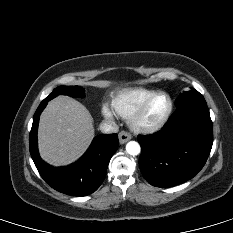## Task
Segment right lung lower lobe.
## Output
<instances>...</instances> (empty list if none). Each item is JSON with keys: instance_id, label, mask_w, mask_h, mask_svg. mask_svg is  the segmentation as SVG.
I'll use <instances>...</instances> for the list:
<instances>
[{"instance_id": "obj_1", "label": "right lung lower lobe", "mask_w": 233, "mask_h": 233, "mask_svg": "<svg viewBox=\"0 0 233 233\" xmlns=\"http://www.w3.org/2000/svg\"><path fill=\"white\" fill-rule=\"evenodd\" d=\"M48 101L37 108L29 136L30 154L44 181L53 189L73 196H86L102 184L109 161L119 146L117 134H102L94 138L87 152L77 162L66 167H52L41 160L37 149L39 116Z\"/></svg>"}]
</instances>
